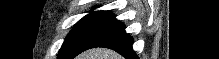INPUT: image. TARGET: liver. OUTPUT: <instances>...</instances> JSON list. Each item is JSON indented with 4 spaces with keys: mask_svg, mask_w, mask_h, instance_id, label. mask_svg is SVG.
<instances>
[{
    "mask_svg": "<svg viewBox=\"0 0 219 59\" xmlns=\"http://www.w3.org/2000/svg\"><path fill=\"white\" fill-rule=\"evenodd\" d=\"M77 59H123V57L113 50L95 48L83 52Z\"/></svg>",
    "mask_w": 219,
    "mask_h": 59,
    "instance_id": "1",
    "label": "liver"
}]
</instances>
